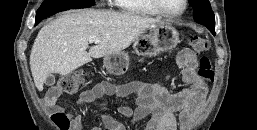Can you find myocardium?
<instances>
[{
  "label": "myocardium",
  "instance_id": "myocardium-1",
  "mask_svg": "<svg viewBox=\"0 0 257 130\" xmlns=\"http://www.w3.org/2000/svg\"><path fill=\"white\" fill-rule=\"evenodd\" d=\"M150 4L152 5V7L158 11L160 14L164 15V16H167V17H171V18H174V17H178V16H181L187 9L188 7V0H184V4H183V8L179 11V12H176V13H171V12H168L167 10H165L159 0H149Z\"/></svg>",
  "mask_w": 257,
  "mask_h": 130
}]
</instances>
